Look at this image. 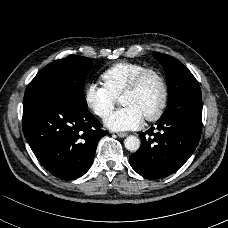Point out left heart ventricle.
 Wrapping results in <instances>:
<instances>
[{
  "mask_svg": "<svg viewBox=\"0 0 228 228\" xmlns=\"http://www.w3.org/2000/svg\"><path fill=\"white\" fill-rule=\"evenodd\" d=\"M162 98L163 89L159 79L150 75L136 92L122 96L121 103L124 106L136 108L143 116H146L158 109Z\"/></svg>",
  "mask_w": 228,
  "mask_h": 228,
  "instance_id": "1",
  "label": "left heart ventricle"
}]
</instances>
